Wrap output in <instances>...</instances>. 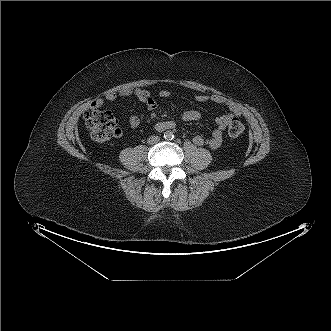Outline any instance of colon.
I'll list each match as a JSON object with an SVG mask.
<instances>
[{
  "label": "colon",
  "instance_id": "colon-1",
  "mask_svg": "<svg viewBox=\"0 0 331 331\" xmlns=\"http://www.w3.org/2000/svg\"><path fill=\"white\" fill-rule=\"evenodd\" d=\"M84 121L92 138L98 142L109 141L120 134L118 121L111 111L90 107L84 113ZM243 132L242 122L237 118L232 119L228 126L229 135L238 137Z\"/></svg>",
  "mask_w": 331,
  "mask_h": 331
}]
</instances>
